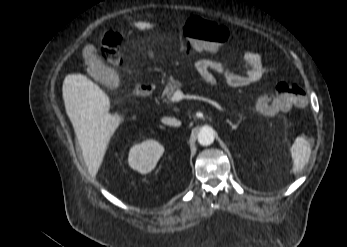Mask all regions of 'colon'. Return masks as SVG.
Returning <instances> with one entry per match:
<instances>
[{
    "mask_svg": "<svg viewBox=\"0 0 347 247\" xmlns=\"http://www.w3.org/2000/svg\"><path fill=\"white\" fill-rule=\"evenodd\" d=\"M182 35L189 45L198 51L217 52L229 40V30L210 20L190 17L186 20ZM121 37L115 31L104 34L97 49L100 59L112 66L122 62L120 51ZM305 103L304 89L297 83H279L273 94L260 97L256 109L266 116H274L278 111H289L301 108Z\"/></svg>",
    "mask_w": 347,
    "mask_h": 247,
    "instance_id": "colon-1",
    "label": "colon"
}]
</instances>
